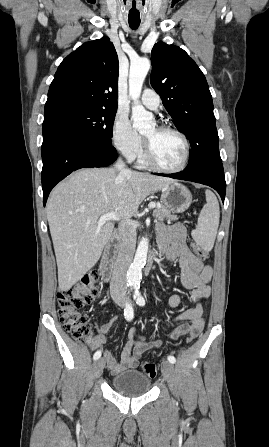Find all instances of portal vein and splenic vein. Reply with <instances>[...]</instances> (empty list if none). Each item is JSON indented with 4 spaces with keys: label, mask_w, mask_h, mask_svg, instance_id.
Masks as SVG:
<instances>
[{
    "label": "portal vein and splenic vein",
    "mask_w": 269,
    "mask_h": 447,
    "mask_svg": "<svg viewBox=\"0 0 269 447\" xmlns=\"http://www.w3.org/2000/svg\"><path fill=\"white\" fill-rule=\"evenodd\" d=\"M147 207L150 211H153L156 207V204L155 202L150 201L148 202ZM108 220H120V218H117L115 212H110V214H104V216H100L98 224L99 225L106 224Z\"/></svg>",
    "instance_id": "1"
}]
</instances>
